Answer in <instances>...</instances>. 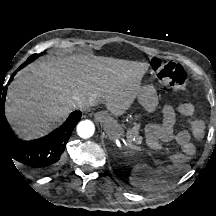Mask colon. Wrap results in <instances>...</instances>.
I'll use <instances>...</instances> for the list:
<instances>
[{
    "label": "colon",
    "instance_id": "5ec220e1",
    "mask_svg": "<svg viewBox=\"0 0 216 216\" xmlns=\"http://www.w3.org/2000/svg\"><path fill=\"white\" fill-rule=\"evenodd\" d=\"M150 66L152 73L173 90L180 93L186 90L188 73L183 66L158 58L153 59Z\"/></svg>",
    "mask_w": 216,
    "mask_h": 216
}]
</instances>
